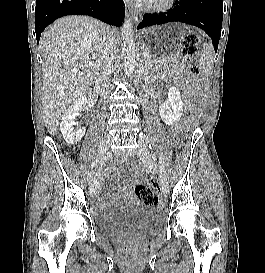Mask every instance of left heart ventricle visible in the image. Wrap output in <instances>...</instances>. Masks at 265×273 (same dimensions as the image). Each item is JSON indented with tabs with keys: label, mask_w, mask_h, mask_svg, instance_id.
I'll return each mask as SVG.
<instances>
[{
	"label": "left heart ventricle",
	"mask_w": 265,
	"mask_h": 273,
	"mask_svg": "<svg viewBox=\"0 0 265 273\" xmlns=\"http://www.w3.org/2000/svg\"><path fill=\"white\" fill-rule=\"evenodd\" d=\"M151 1H162V0H151Z\"/></svg>",
	"instance_id": "left-heart-ventricle-1"
}]
</instances>
